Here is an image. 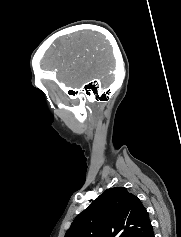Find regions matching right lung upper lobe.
<instances>
[{
	"label": "right lung upper lobe",
	"instance_id": "1",
	"mask_svg": "<svg viewBox=\"0 0 181 237\" xmlns=\"http://www.w3.org/2000/svg\"><path fill=\"white\" fill-rule=\"evenodd\" d=\"M152 233L139 198L124 187H114L77 215L65 237H151Z\"/></svg>",
	"mask_w": 181,
	"mask_h": 237
}]
</instances>
